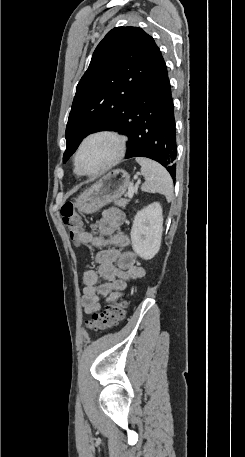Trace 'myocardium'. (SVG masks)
<instances>
[{
    "label": "myocardium",
    "mask_w": 245,
    "mask_h": 457,
    "mask_svg": "<svg viewBox=\"0 0 245 457\" xmlns=\"http://www.w3.org/2000/svg\"><path fill=\"white\" fill-rule=\"evenodd\" d=\"M101 136L109 137V138H111V139H113L115 141L114 155L111 158V160L104 167H102L101 169H99V170H97L95 172H87L81 166V163H80L81 154H82V152H83V150H84V148L86 146V143L90 139L96 138V137H101ZM125 146H126V141H125L124 137L122 135H120L119 133L115 132V131H112V130H98V131L92 132V133L88 134L82 140V142H81V144H80V146L78 148V151H77L76 156H75V163H76L77 169L79 170V172L81 174L86 175V176H90V177L99 176L102 173L106 172L107 170L111 169L113 166H115L118 163V161L124 156Z\"/></svg>",
    "instance_id": "1"
}]
</instances>
